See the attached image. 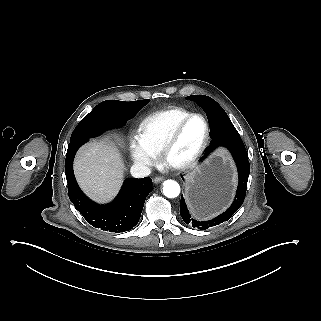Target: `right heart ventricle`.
<instances>
[{
    "mask_svg": "<svg viewBox=\"0 0 321 321\" xmlns=\"http://www.w3.org/2000/svg\"><path fill=\"white\" fill-rule=\"evenodd\" d=\"M190 114V110L178 106L155 111L142 120L139 134L159 156L174 125ZM158 164L162 165V160H159Z\"/></svg>",
    "mask_w": 321,
    "mask_h": 321,
    "instance_id": "e07e8e85",
    "label": "right heart ventricle"
}]
</instances>
